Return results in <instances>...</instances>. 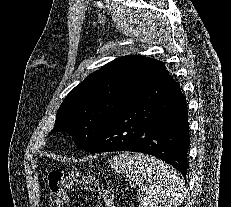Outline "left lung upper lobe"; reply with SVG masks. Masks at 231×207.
Masks as SVG:
<instances>
[{"label": "left lung upper lobe", "instance_id": "left-lung-upper-lobe-1", "mask_svg": "<svg viewBox=\"0 0 231 207\" xmlns=\"http://www.w3.org/2000/svg\"><path fill=\"white\" fill-rule=\"evenodd\" d=\"M157 63L127 55L90 74L65 97L50 133L67 132L79 149L86 150L115 114L144 88Z\"/></svg>", "mask_w": 231, "mask_h": 207}]
</instances>
